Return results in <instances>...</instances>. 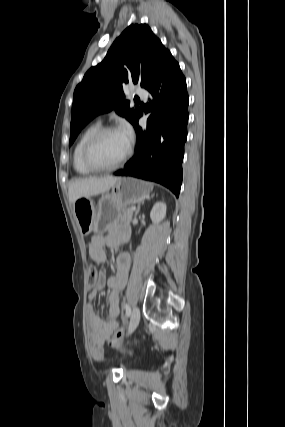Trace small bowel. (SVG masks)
<instances>
[{
  "mask_svg": "<svg viewBox=\"0 0 285 427\" xmlns=\"http://www.w3.org/2000/svg\"><path fill=\"white\" fill-rule=\"evenodd\" d=\"M124 233L125 231L121 230L119 233L110 234L106 237L101 234L93 235L89 243L90 257L97 263H104L106 260L105 246H115L118 243L119 235ZM130 263L128 254L120 255L117 260V274L107 279L105 273L100 271L95 286L88 292L89 300H93L106 284L111 290L107 298V321L101 320L91 306L89 308L88 341L90 353L94 360H103L104 344L119 326V297L128 278Z\"/></svg>",
  "mask_w": 285,
  "mask_h": 427,
  "instance_id": "c3829d8e",
  "label": "small bowel"
}]
</instances>
